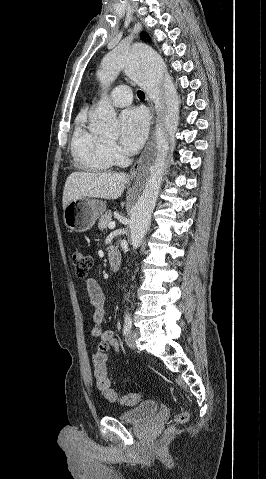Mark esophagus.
I'll return each mask as SVG.
<instances>
[{
	"label": "esophagus",
	"instance_id": "34e87169",
	"mask_svg": "<svg viewBox=\"0 0 266 479\" xmlns=\"http://www.w3.org/2000/svg\"><path fill=\"white\" fill-rule=\"evenodd\" d=\"M147 101H148V104H149V107H150L151 118H152V125H153V124H154V116H155V114H154V107H153L152 102L149 100V98H147ZM149 144H150V143L148 142V144H147V146L145 147L144 151L142 152L141 156L139 157V159L135 162V164H134L133 167L131 168L130 173H129V176H130L131 178L135 177V176L138 174V172H139V170H140V168H141V165H142V163H143V160H144V158H145V156H146V153H147V149H148V147H149Z\"/></svg>",
	"mask_w": 266,
	"mask_h": 479
}]
</instances>
